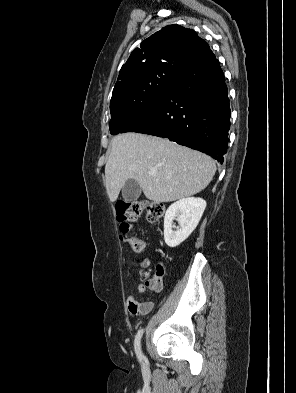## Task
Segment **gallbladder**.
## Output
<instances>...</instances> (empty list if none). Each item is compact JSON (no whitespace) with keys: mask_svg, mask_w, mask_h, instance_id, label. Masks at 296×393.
I'll list each match as a JSON object with an SVG mask.
<instances>
[{"mask_svg":"<svg viewBox=\"0 0 296 393\" xmlns=\"http://www.w3.org/2000/svg\"><path fill=\"white\" fill-rule=\"evenodd\" d=\"M141 194V187L134 179L126 181L122 189V198L126 202L136 201Z\"/></svg>","mask_w":296,"mask_h":393,"instance_id":"1","label":"gallbladder"}]
</instances>
